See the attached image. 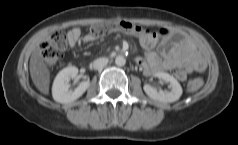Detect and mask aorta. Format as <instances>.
<instances>
[{
	"instance_id": "762f6f07",
	"label": "aorta",
	"mask_w": 238,
	"mask_h": 145,
	"mask_svg": "<svg viewBox=\"0 0 238 145\" xmlns=\"http://www.w3.org/2000/svg\"><path fill=\"white\" fill-rule=\"evenodd\" d=\"M125 63H126V59L123 57V56H117L116 58H115V64L117 65V66H124L125 65Z\"/></svg>"
}]
</instances>
